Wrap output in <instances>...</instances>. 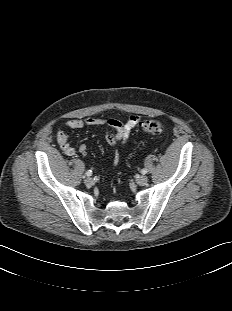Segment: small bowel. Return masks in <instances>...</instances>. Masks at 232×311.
<instances>
[{
    "instance_id": "small-bowel-1",
    "label": "small bowel",
    "mask_w": 232,
    "mask_h": 311,
    "mask_svg": "<svg viewBox=\"0 0 232 311\" xmlns=\"http://www.w3.org/2000/svg\"><path fill=\"white\" fill-rule=\"evenodd\" d=\"M141 118L137 115L130 116L127 121L122 122L116 119H99V118H87V119H71L67 122V128L70 130H77L84 126H106L112 129V131H107L106 141L110 145H116L118 143L124 144L129 139L131 131L140 123ZM57 141L61 150L69 155H75L76 150L69 143V135L65 131L57 132ZM79 152L85 154L87 151V146L81 144L79 146ZM117 163V159L115 160Z\"/></svg>"
}]
</instances>
